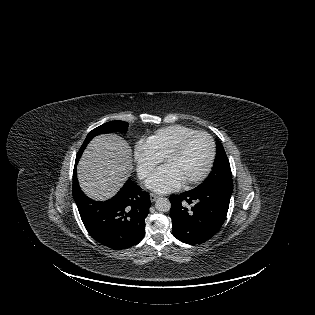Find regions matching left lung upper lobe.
I'll list each match as a JSON object with an SVG mask.
<instances>
[{
	"mask_svg": "<svg viewBox=\"0 0 315 315\" xmlns=\"http://www.w3.org/2000/svg\"><path fill=\"white\" fill-rule=\"evenodd\" d=\"M217 149L213 169L202 186L233 188L232 173L229 160L221 142L216 139Z\"/></svg>",
	"mask_w": 315,
	"mask_h": 315,
	"instance_id": "left-lung-upper-lobe-1",
	"label": "left lung upper lobe"
}]
</instances>
